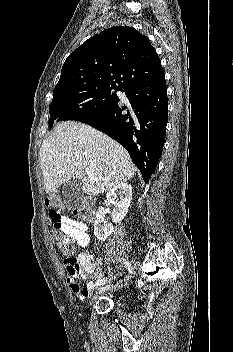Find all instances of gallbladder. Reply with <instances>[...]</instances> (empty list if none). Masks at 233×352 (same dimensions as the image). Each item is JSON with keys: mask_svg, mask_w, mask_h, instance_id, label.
<instances>
[{"mask_svg": "<svg viewBox=\"0 0 233 352\" xmlns=\"http://www.w3.org/2000/svg\"><path fill=\"white\" fill-rule=\"evenodd\" d=\"M63 203L68 209L77 207L82 199V180L75 178L66 181L62 191Z\"/></svg>", "mask_w": 233, "mask_h": 352, "instance_id": "obj_1", "label": "gallbladder"}]
</instances>
